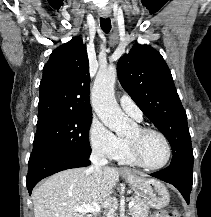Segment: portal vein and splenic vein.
Here are the masks:
<instances>
[{"label":"portal vein and splenic vein","instance_id":"18ae733b","mask_svg":"<svg viewBox=\"0 0 211 217\" xmlns=\"http://www.w3.org/2000/svg\"><path fill=\"white\" fill-rule=\"evenodd\" d=\"M134 206V202L131 200L128 203V208H132ZM75 211L80 212V213H87V212H92V213H99L101 212L100 206L98 204H93V205H84L80 207H75Z\"/></svg>","mask_w":211,"mask_h":217}]
</instances>
